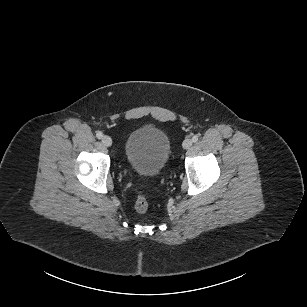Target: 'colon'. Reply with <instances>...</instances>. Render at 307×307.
Wrapping results in <instances>:
<instances>
[{"label": "colon", "instance_id": "colon-1", "mask_svg": "<svg viewBox=\"0 0 307 307\" xmlns=\"http://www.w3.org/2000/svg\"><path fill=\"white\" fill-rule=\"evenodd\" d=\"M135 210L138 212V213H144L147 211L148 207H149V203H148V200L146 198V196L144 195H140L136 198L135 200Z\"/></svg>", "mask_w": 307, "mask_h": 307}]
</instances>
